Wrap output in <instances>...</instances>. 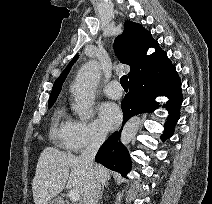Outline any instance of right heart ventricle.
<instances>
[{
    "instance_id": "e07e8e85",
    "label": "right heart ventricle",
    "mask_w": 212,
    "mask_h": 204,
    "mask_svg": "<svg viewBox=\"0 0 212 204\" xmlns=\"http://www.w3.org/2000/svg\"><path fill=\"white\" fill-rule=\"evenodd\" d=\"M73 124L65 107H59L53 114L50 137L59 146L69 148V136Z\"/></svg>"
}]
</instances>
